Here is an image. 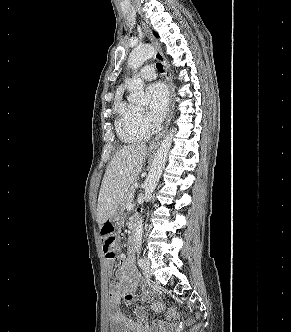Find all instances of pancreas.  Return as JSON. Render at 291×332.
Instances as JSON below:
<instances>
[{"mask_svg":"<svg viewBox=\"0 0 291 332\" xmlns=\"http://www.w3.org/2000/svg\"><path fill=\"white\" fill-rule=\"evenodd\" d=\"M134 192V188H129L123 193L119 202L121 210H125L127 208V204L132 203Z\"/></svg>","mask_w":291,"mask_h":332,"instance_id":"pancreas-1","label":"pancreas"}]
</instances>
